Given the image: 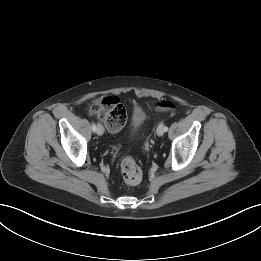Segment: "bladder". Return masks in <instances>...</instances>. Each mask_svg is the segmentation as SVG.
<instances>
[{"instance_id":"obj_1","label":"bladder","mask_w":261,"mask_h":261,"mask_svg":"<svg viewBox=\"0 0 261 261\" xmlns=\"http://www.w3.org/2000/svg\"><path fill=\"white\" fill-rule=\"evenodd\" d=\"M146 113L140 107H135L132 111L131 120H130V131L132 134H135L141 130L145 121Z\"/></svg>"}]
</instances>
